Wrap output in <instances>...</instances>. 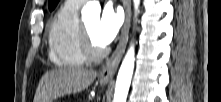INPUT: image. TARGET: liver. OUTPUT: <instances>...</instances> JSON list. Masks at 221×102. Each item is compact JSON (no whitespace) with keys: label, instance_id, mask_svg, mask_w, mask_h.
Segmentation results:
<instances>
[{"label":"liver","instance_id":"6515ba94","mask_svg":"<svg viewBox=\"0 0 221 102\" xmlns=\"http://www.w3.org/2000/svg\"><path fill=\"white\" fill-rule=\"evenodd\" d=\"M97 72L84 68H58L41 78L34 102H52L59 97L87 89L95 80Z\"/></svg>","mask_w":221,"mask_h":102}]
</instances>
